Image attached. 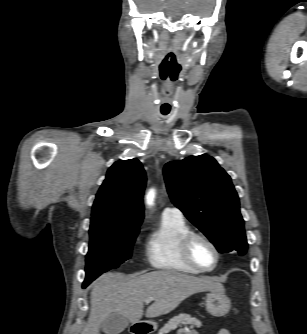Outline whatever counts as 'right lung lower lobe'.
Masks as SVG:
<instances>
[{"instance_id":"98d812e1","label":"right lung lower lobe","mask_w":307,"mask_h":334,"mask_svg":"<svg viewBox=\"0 0 307 334\" xmlns=\"http://www.w3.org/2000/svg\"><path fill=\"white\" fill-rule=\"evenodd\" d=\"M86 286L83 284V288H85Z\"/></svg>"}]
</instances>
